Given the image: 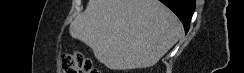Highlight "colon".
Masks as SVG:
<instances>
[{
    "instance_id": "obj_1",
    "label": "colon",
    "mask_w": 244,
    "mask_h": 73,
    "mask_svg": "<svg viewBox=\"0 0 244 73\" xmlns=\"http://www.w3.org/2000/svg\"><path fill=\"white\" fill-rule=\"evenodd\" d=\"M60 64L64 73H99L92 60L79 51L63 54Z\"/></svg>"
}]
</instances>
